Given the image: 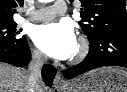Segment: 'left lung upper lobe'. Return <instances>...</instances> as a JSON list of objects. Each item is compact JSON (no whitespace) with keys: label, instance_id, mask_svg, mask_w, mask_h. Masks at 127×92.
<instances>
[{"label":"left lung upper lobe","instance_id":"left-lung-upper-lobe-1","mask_svg":"<svg viewBox=\"0 0 127 92\" xmlns=\"http://www.w3.org/2000/svg\"><path fill=\"white\" fill-rule=\"evenodd\" d=\"M71 2L73 0H70ZM82 20L79 22L89 42L104 32L127 33L125 0H80Z\"/></svg>","mask_w":127,"mask_h":92}]
</instances>
